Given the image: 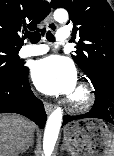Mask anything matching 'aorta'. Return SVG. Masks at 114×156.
<instances>
[{
    "instance_id": "obj_1",
    "label": "aorta",
    "mask_w": 114,
    "mask_h": 156,
    "mask_svg": "<svg viewBox=\"0 0 114 156\" xmlns=\"http://www.w3.org/2000/svg\"><path fill=\"white\" fill-rule=\"evenodd\" d=\"M54 19L59 23H65L68 20V13L65 9H57L54 12ZM62 110L57 107L48 117L44 139L43 150L45 156H51L62 124Z\"/></svg>"
}]
</instances>
